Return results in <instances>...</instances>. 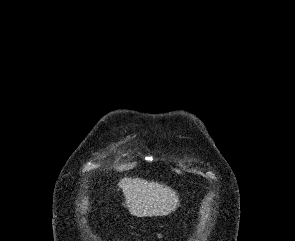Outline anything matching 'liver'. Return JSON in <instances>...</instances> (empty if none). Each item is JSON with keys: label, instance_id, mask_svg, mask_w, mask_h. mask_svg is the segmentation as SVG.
Listing matches in <instances>:
<instances>
[{"label": "liver", "instance_id": "1", "mask_svg": "<svg viewBox=\"0 0 295 241\" xmlns=\"http://www.w3.org/2000/svg\"><path fill=\"white\" fill-rule=\"evenodd\" d=\"M118 186L130 214L136 217L168 215L179 205L177 193L166 185L125 177Z\"/></svg>", "mask_w": 295, "mask_h": 241}]
</instances>
